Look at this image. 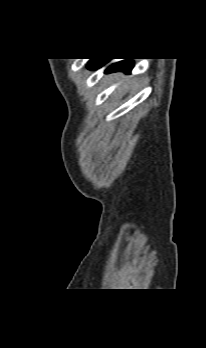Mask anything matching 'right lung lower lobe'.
<instances>
[{
	"instance_id": "98d812e1",
	"label": "right lung lower lobe",
	"mask_w": 206,
	"mask_h": 348,
	"mask_svg": "<svg viewBox=\"0 0 206 348\" xmlns=\"http://www.w3.org/2000/svg\"><path fill=\"white\" fill-rule=\"evenodd\" d=\"M110 59H92L89 62L88 68L96 69L107 63ZM133 61H121L113 64L107 69V72L124 71L125 73H130L133 68Z\"/></svg>"
}]
</instances>
